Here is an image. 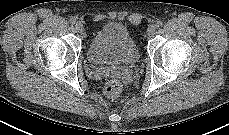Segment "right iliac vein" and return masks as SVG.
I'll return each instance as SVG.
<instances>
[{
    "instance_id": "63e3f726",
    "label": "right iliac vein",
    "mask_w": 229,
    "mask_h": 135,
    "mask_svg": "<svg viewBox=\"0 0 229 135\" xmlns=\"http://www.w3.org/2000/svg\"><path fill=\"white\" fill-rule=\"evenodd\" d=\"M75 28H76L77 32H79V33L83 32V30H84V26L81 22H77L75 25Z\"/></svg>"
}]
</instances>
